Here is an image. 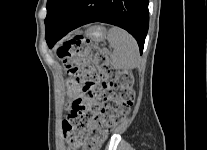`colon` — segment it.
<instances>
[{
  "label": "colon",
  "mask_w": 207,
  "mask_h": 150,
  "mask_svg": "<svg viewBox=\"0 0 207 150\" xmlns=\"http://www.w3.org/2000/svg\"><path fill=\"white\" fill-rule=\"evenodd\" d=\"M56 56L65 71L82 86L84 94L73 101L62 124L68 149L85 146L87 150H98L133 105L132 76L116 67L105 51L83 36L59 46Z\"/></svg>",
  "instance_id": "colon-1"
}]
</instances>
